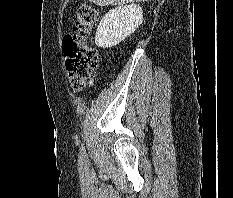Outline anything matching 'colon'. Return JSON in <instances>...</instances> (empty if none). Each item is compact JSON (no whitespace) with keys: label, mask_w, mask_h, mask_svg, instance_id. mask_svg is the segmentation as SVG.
<instances>
[{"label":"colon","mask_w":233,"mask_h":198,"mask_svg":"<svg viewBox=\"0 0 233 198\" xmlns=\"http://www.w3.org/2000/svg\"><path fill=\"white\" fill-rule=\"evenodd\" d=\"M99 18L97 9L86 2L78 5L73 33L63 40L65 65L71 87L81 91L93 81L98 67V53L89 38Z\"/></svg>","instance_id":"1"}]
</instances>
